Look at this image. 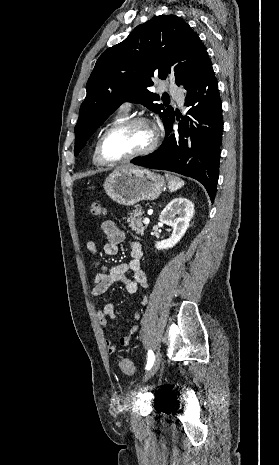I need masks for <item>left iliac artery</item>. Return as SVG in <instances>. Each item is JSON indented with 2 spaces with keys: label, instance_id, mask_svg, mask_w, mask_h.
<instances>
[{
  "label": "left iliac artery",
  "instance_id": "obj_1",
  "mask_svg": "<svg viewBox=\"0 0 279 465\" xmlns=\"http://www.w3.org/2000/svg\"><path fill=\"white\" fill-rule=\"evenodd\" d=\"M154 359H155L154 353L151 350H149L148 358H147V370H149L152 367Z\"/></svg>",
  "mask_w": 279,
  "mask_h": 465
}]
</instances>
